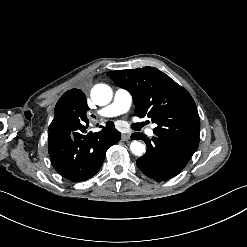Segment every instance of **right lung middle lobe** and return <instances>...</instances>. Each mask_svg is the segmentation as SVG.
<instances>
[{
  "label": "right lung middle lobe",
  "instance_id": "obj_1",
  "mask_svg": "<svg viewBox=\"0 0 247 247\" xmlns=\"http://www.w3.org/2000/svg\"><path fill=\"white\" fill-rule=\"evenodd\" d=\"M88 110L85 94L80 89L68 90L55 106L54 119L49 126L48 135L64 134L87 121Z\"/></svg>",
  "mask_w": 247,
  "mask_h": 247
}]
</instances>
